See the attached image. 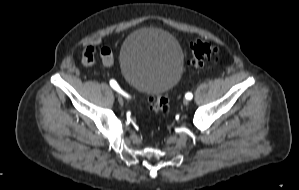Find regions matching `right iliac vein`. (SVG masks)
Returning <instances> with one entry per match:
<instances>
[{
    "mask_svg": "<svg viewBox=\"0 0 299 190\" xmlns=\"http://www.w3.org/2000/svg\"><path fill=\"white\" fill-rule=\"evenodd\" d=\"M118 101H119L120 104H123V102H124L123 98L121 96L118 97Z\"/></svg>",
    "mask_w": 299,
    "mask_h": 190,
    "instance_id": "63e3f726",
    "label": "right iliac vein"
}]
</instances>
